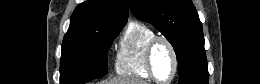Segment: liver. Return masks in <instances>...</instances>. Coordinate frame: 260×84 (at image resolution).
I'll use <instances>...</instances> for the list:
<instances>
[{
	"instance_id": "1",
	"label": "liver",
	"mask_w": 260,
	"mask_h": 84,
	"mask_svg": "<svg viewBox=\"0 0 260 84\" xmlns=\"http://www.w3.org/2000/svg\"><path fill=\"white\" fill-rule=\"evenodd\" d=\"M102 84H146L144 81H134L129 79H117L112 81H106Z\"/></svg>"
}]
</instances>
